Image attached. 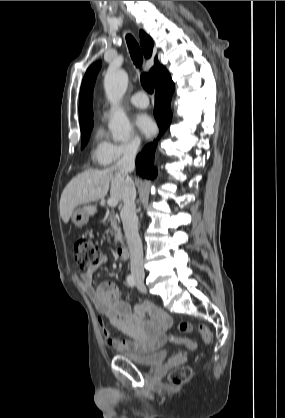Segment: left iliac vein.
<instances>
[{
  "instance_id": "1",
  "label": "left iliac vein",
  "mask_w": 285,
  "mask_h": 418,
  "mask_svg": "<svg viewBox=\"0 0 285 418\" xmlns=\"http://www.w3.org/2000/svg\"><path fill=\"white\" fill-rule=\"evenodd\" d=\"M136 287L140 292H142V293L146 292V287H145L143 281H136Z\"/></svg>"
}]
</instances>
